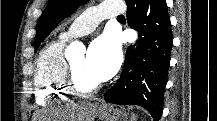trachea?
Returning <instances> with one entry per match:
<instances>
[{
    "mask_svg": "<svg viewBox=\"0 0 217 121\" xmlns=\"http://www.w3.org/2000/svg\"><path fill=\"white\" fill-rule=\"evenodd\" d=\"M119 17L122 18V17H124V16H123V15H120Z\"/></svg>",
    "mask_w": 217,
    "mask_h": 121,
    "instance_id": "3493384b",
    "label": "trachea"
}]
</instances>
